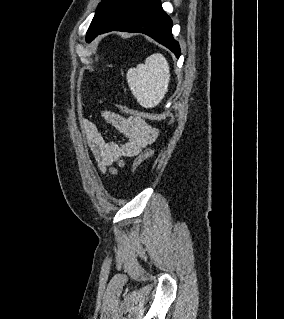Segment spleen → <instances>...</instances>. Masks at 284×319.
Segmentation results:
<instances>
[{
    "label": "spleen",
    "mask_w": 284,
    "mask_h": 319,
    "mask_svg": "<svg viewBox=\"0 0 284 319\" xmlns=\"http://www.w3.org/2000/svg\"><path fill=\"white\" fill-rule=\"evenodd\" d=\"M126 78L140 105L151 108L158 105L168 91L170 67L162 54L155 53L147 57L144 64L130 68Z\"/></svg>",
    "instance_id": "obj_1"
}]
</instances>
